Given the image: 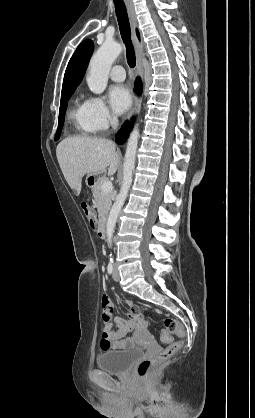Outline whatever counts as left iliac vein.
Wrapping results in <instances>:
<instances>
[{"mask_svg": "<svg viewBox=\"0 0 255 418\" xmlns=\"http://www.w3.org/2000/svg\"><path fill=\"white\" fill-rule=\"evenodd\" d=\"M113 279H114V281H119V279H120L119 271H118L116 265L114 266Z\"/></svg>", "mask_w": 255, "mask_h": 418, "instance_id": "obj_1", "label": "left iliac vein"}]
</instances>
